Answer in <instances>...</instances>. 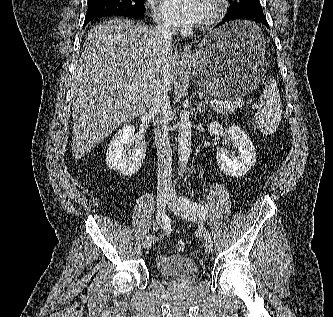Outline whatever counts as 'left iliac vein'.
<instances>
[{"label": "left iliac vein", "instance_id": "1", "mask_svg": "<svg viewBox=\"0 0 333 317\" xmlns=\"http://www.w3.org/2000/svg\"><path fill=\"white\" fill-rule=\"evenodd\" d=\"M167 205L178 217L191 222L196 221L194 214L178 199L175 193L171 192L169 194ZM203 235L205 252L210 254L213 250L211 235L207 231H204Z\"/></svg>", "mask_w": 333, "mask_h": 317}]
</instances>
